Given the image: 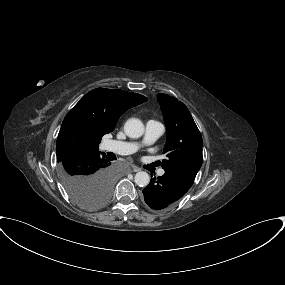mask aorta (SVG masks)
Segmentation results:
<instances>
[{
    "label": "aorta",
    "mask_w": 285,
    "mask_h": 285,
    "mask_svg": "<svg viewBox=\"0 0 285 285\" xmlns=\"http://www.w3.org/2000/svg\"><path fill=\"white\" fill-rule=\"evenodd\" d=\"M124 132L130 138H139L144 134V125L137 118H130L124 124ZM135 183L140 187H145L150 182V177L147 172L140 171L136 173Z\"/></svg>",
    "instance_id": "obj_1"
}]
</instances>
